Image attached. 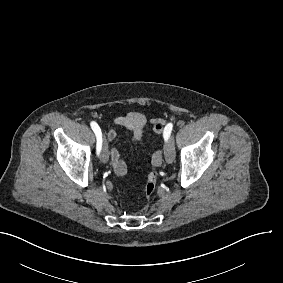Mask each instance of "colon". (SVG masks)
Masks as SVG:
<instances>
[{"label":"colon","mask_w":283,"mask_h":283,"mask_svg":"<svg viewBox=\"0 0 283 283\" xmlns=\"http://www.w3.org/2000/svg\"><path fill=\"white\" fill-rule=\"evenodd\" d=\"M156 158H152V161H155ZM157 185V172L155 170H151L147 177V182L145 186V198L147 200L151 199L154 195L155 189Z\"/></svg>","instance_id":"5ec220e1"}]
</instances>
